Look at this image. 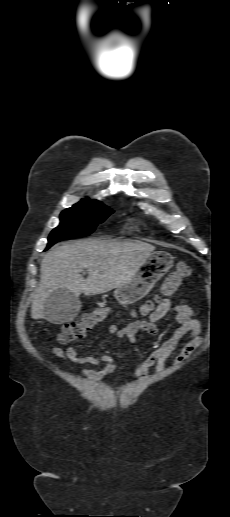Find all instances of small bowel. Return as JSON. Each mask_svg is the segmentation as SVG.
Instances as JSON below:
<instances>
[{"instance_id": "obj_1", "label": "small bowel", "mask_w": 230, "mask_h": 517, "mask_svg": "<svg viewBox=\"0 0 230 517\" xmlns=\"http://www.w3.org/2000/svg\"><path fill=\"white\" fill-rule=\"evenodd\" d=\"M193 314V308L186 300L173 303L169 299H164L158 304L156 309L151 312L148 320H134L121 327L116 324H111L108 326L107 331L118 339H126L128 342L134 343L136 334L139 331L155 335L159 324L165 321L170 315H174L175 320L180 324L179 328L137 366L136 377L143 378L147 370L152 366H156L159 371H162L165 366V361L178 349L183 339L186 338L187 342L175 358L174 363L176 365H180L187 360L200 345V325ZM52 352L57 358L65 362L82 363L90 366L91 368L85 369L83 372L87 377L92 379L102 378L117 367V363L114 359L106 354L94 357H80L75 346H69L65 349L54 347Z\"/></svg>"}]
</instances>
